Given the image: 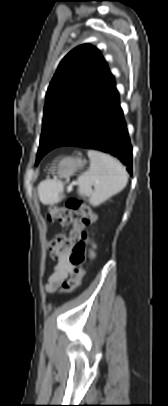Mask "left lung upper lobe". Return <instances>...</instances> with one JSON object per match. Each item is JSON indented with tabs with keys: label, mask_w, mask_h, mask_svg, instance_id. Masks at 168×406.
Here are the masks:
<instances>
[{
	"label": "left lung upper lobe",
	"mask_w": 168,
	"mask_h": 406,
	"mask_svg": "<svg viewBox=\"0 0 168 406\" xmlns=\"http://www.w3.org/2000/svg\"><path fill=\"white\" fill-rule=\"evenodd\" d=\"M113 81L99 50L89 44L63 58L47 90L36 165L81 129Z\"/></svg>",
	"instance_id": "1"
}]
</instances>
